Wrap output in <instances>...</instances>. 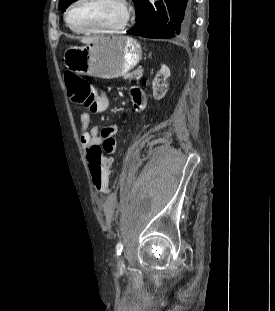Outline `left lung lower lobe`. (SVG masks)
Segmentation results:
<instances>
[{"instance_id": "obj_1", "label": "left lung lower lobe", "mask_w": 275, "mask_h": 311, "mask_svg": "<svg viewBox=\"0 0 275 311\" xmlns=\"http://www.w3.org/2000/svg\"><path fill=\"white\" fill-rule=\"evenodd\" d=\"M192 0H144L128 33L147 38H182L191 28Z\"/></svg>"}]
</instances>
